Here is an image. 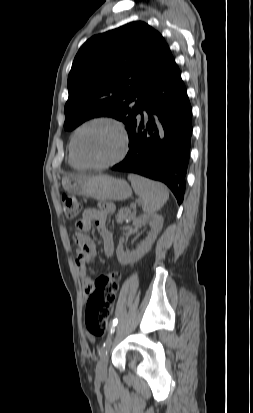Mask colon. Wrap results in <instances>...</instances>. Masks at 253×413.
<instances>
[{
    "mask_svg": "<svg viewBox=\"0 0 253 413\" xmlns=\"http://www.w3.org/2000/svg\"><path fill=\"white\" fill-rule=\"evenodd\" d=\"M63 210L67 218L73 219L80 212V202L69 193H63ZM121 274L112 271L101 275L94 284L86 304V328L90 337L102 336L108 329L111 307L119 289Z\"/></svg>",
    "mask_w": 253,
    "mask_h": 413,
    "instance_id": "colon-1",
    "label": "colon"
}]
</instances>
